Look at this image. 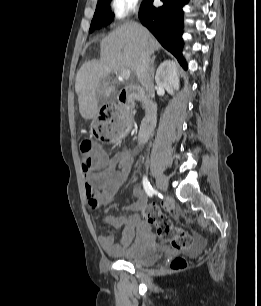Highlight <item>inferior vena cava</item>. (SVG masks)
Here are the masks:
<instances>
[{
    "instance_id": "obj_1",
    "label": "inferior vena cava",
    "mask_w": 261,
    "mask_h": 306,
    "mask_svg": "<svg viewBox=\"0 0 261 306\" xmlns=\"http://www.w3.org/2000/svg\"><path fill=\"white\" fill-rule=\"evenodd\" d=\"M151 54L144 50L141 55L139 56V59L137 61L136 65V73L139 82L141 85L145 88L147 94L149 97H154V84H153V78L150 69H151Z\"/></svg>"
}]
</instances>
